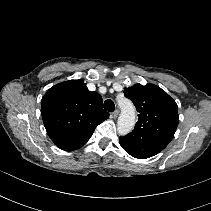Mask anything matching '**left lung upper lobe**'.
<instances>
[{
  "label": "left lung upper lobe",
  "instance_id": "5c2ea615",
  "mask_svg": "<svg viewBox=\"0 0 211 211\" xmlns=\"http://www.w3.org/2000/svg\"><path fill=\"white\" fill-rule=\"evenodd\" d=\"M137 111L135 129L120 137V145L133 157L146 159L162 151L174 136L179 116L176 102L160 87L135 84L125 88Z\"/></svg>",
  "mask_w": 211,
  "mask_h": 211
}]
</instances>
